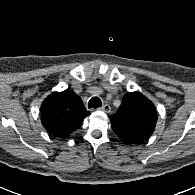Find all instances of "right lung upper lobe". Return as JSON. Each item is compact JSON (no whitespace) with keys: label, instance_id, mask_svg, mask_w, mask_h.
I'll use <instances>...</instances> for the list:
<instances>
[{"label":"right lung upper lobe","instance_id":"right-lung-upper-lobe-1","mask_svg":"<svg viewBox=\"0 0 195 195\" xmlns=\"http://www.w3.org/2000/svg\"><path fill=\"white\" fill-rule=\"evenodd\" d=\"M90 113L74 91L54 92L41 105V121L53 136L66 138Z\"/></svg>","mask_w":195,"mask_h":195}]
</instances>
